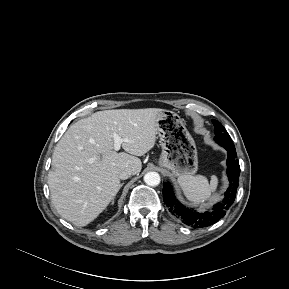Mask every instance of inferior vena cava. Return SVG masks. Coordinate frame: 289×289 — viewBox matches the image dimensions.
<instances>
[{
  "instance_id": "inferior-vena-cava-1",
  "label": "inferior vena cava",
  "mask_w": 289,
  "mask_h": 289,
  "mask_svg": "<svg viewBox=\"0 0 289 289\" xmlns=\"http://www.w3.org/2000/svg\"><path fill=\"white\" fill-rule=\"evenodd\" d=\"M133 174L132 170L129 168L123 169L119 172V178L125 180Z\"/></svg>"
}]
</instances>
